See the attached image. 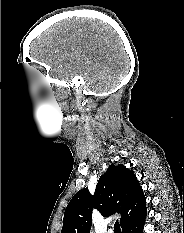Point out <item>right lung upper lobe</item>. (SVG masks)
Returning <instances> with one entry per match:
<instances>
[{"mask_svg":"<svg viewBox=\"0 0 184 233\" xmlns=\"http://www.w3.org/2000/svg\"><path fill=\"white\" fill-rule=\"evenodd\" d=\"M146 199L135 174L124 165H109L100 176L94 195L78 191L67 205L61 233H89L92 209L104 217L120 213L121 226L145 209Z\"/></svg>","mask_w":184,"mask_h":233,"instance_id":"right-lung-upper-lobe-1","label":"right lung upper lobe"}]
</instances>
